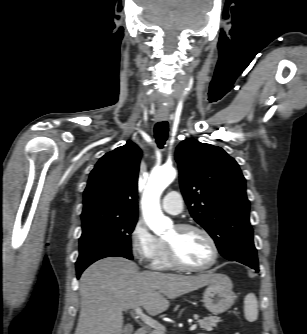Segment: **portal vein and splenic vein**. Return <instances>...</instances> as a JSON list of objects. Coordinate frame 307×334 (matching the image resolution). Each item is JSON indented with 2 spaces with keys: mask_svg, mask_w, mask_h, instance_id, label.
<instances>
[{
  "mask_svg": "<svg viewBox=\"0 0 307 334\" xmlns=\"http://www.w3.org/2000/svg\"><path fill=\"white\" fill-rule=\"evenodd\" d=\"M135 314L147 325L154 328L156 331H165V327L157 322L156 320L152 319L150 316L146 315L140 307L135 308ZM197 328L196 324H193L190 327V331H193Z\"/></svg>",
  "mask_w": 307,
  "mask_h": 334,
  "instance_id": "18ae733b",
  "label": "portal vein and splenic vein"
}]
</instances>
